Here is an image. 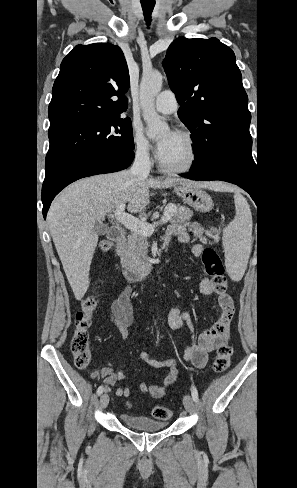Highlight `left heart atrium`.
I'll use <instances>...</instances> for the list:
<instances>
[{
	"label": "left heart atrium",
	"mask_w": 297,
	"mask_h": 488,
	"mask_svg": "<svg viewBox=\"0 0 297 488\" xmlns=\"http://www.w3.org/2000/svg\"><path fill=\"white\" fill-rule=\"evenodd\" d=\"M174 135H175L174 132H168L164 138L159 140V142H158V154L164 150V148L166 147V145L168 144V142L171 140V138Z\"/></svg>",
	"instance_id": "39dd6f15"
}]
</instances>
